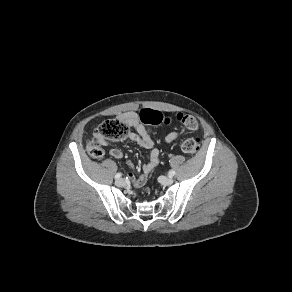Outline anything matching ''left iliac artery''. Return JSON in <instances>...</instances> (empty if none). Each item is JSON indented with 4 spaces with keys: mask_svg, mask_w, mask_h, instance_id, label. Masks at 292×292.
<instances>
[{
    "mask_svg": "<svg viewBox=\"0 0 292 292\" xmlns=\"http://www.w3.org/2000/svg\"><path fill=\"white\" fill-rule=\"evenodd\" d=\"M175 174H176V172L174 170H170L169 171V176L170 177H173Z\"/></svg>",
    "mask_w": 292,
    "mask_h": 292,
    "instance_id": "left-iliac-artery-1",
    "label": "left iliac artery"
}]
</instances>
